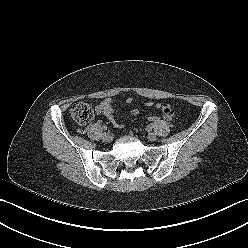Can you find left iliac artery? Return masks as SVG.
<instances>
[{
    "label": "left iliac artery",
    "instance_id": "left-iliac-artery-1",
    "mask_svg": "<svg viewBox=\"0 0 248 248\" xmlns=\"http://www.w3.org/2000/svg\"><path fill=\"white\" fill-rule=\"evenodd\" d=\"M149 128L152 129V125H149Z\"/></svg>",
    "mask_w": 248,
    "mask_h": 248
}]
</instances>
